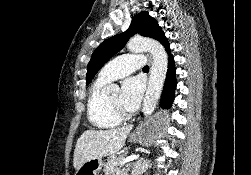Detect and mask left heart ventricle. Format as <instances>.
<instances>
[{"label": "left heart ventricle", "mask_w": 251, "mask_h": 175, "mask_svg": "<svg viewBox=\"0 0 251 175\" xmlns=\"http://www.w3.org/2000/svg\"><path fill=\"white\" fill-rule=\"evenodd\" d=\"M108 101L111 103L113 108L120 109V93H114L109 98Z\"/></svg>", "instance_id": "obj_1"}]
</instances>
